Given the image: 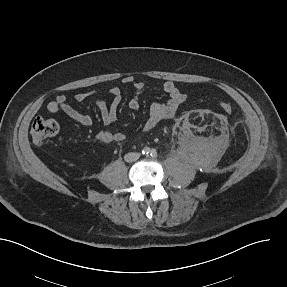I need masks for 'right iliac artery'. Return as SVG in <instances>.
<instances>
[{"instance_id": "right-iliac-artery-1", "label": "right iliac artery", "mask_w": 287, "mask_h": 287, "mask_svg": "<svg viewBox=\"0 0 287 287\" xmlns=\"http://www.w3.org/2000/svg\"><path fill=\"white\" fill-rule=\"evenodd\" d=\"M149 153H150V149L148 148V147H145L143 150H142V154L143 155H149Z\"/></svg>"}]
</instances>
